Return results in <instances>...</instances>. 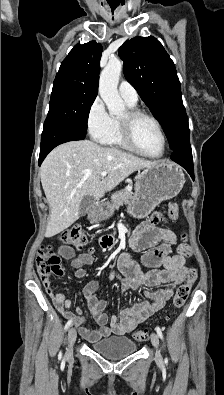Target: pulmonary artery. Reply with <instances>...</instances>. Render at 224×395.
Listing matches in <instances>:
<instances>
[{
	"label": "pulmonary artery",
	"instance_id": "e3ab8cb5",
	"mask_svg": "<svg viewBox=\"0 0 224 395\" xmlns=\"http://www.w3.org/2000/svg\"><path fill=\"white\" fill-rule=\"evenodd\" d=\"M120 96L129 104H136L138 94L135 88L127 81L122 80L118 86Z\"/></svg>",
	"mask_w": 224,
	"mask_h": 395
}]
</instances>
